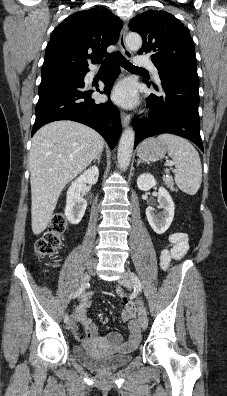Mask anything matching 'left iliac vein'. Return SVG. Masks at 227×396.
<instances>
[{
	"mask_svg": "<svg viewBox=\"0 0 227 396\" xmlns=\"http://www.w3.org/2000/svg\"><path fill=\"white\" fill-rule=\"evenodd\" d=\"M119 283L126 288H133L134 282L129 273H124L119 279ZM139 306V323L142 329H146L148 325V317L141 297H138Z\"/></svg>",
	"mask_w": 227,
	"mask_h": 396,
	"instance_id": "obj_1",
	"label": "left iliac vein"
}]
</instances>
